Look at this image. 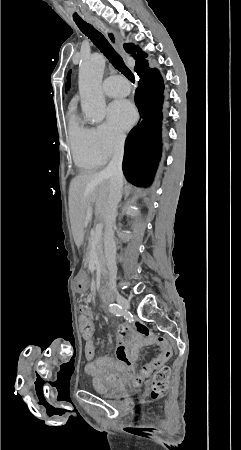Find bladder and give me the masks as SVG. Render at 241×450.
<instances>
[{"label":"bladder","mask_w":241,"mask_h":450,"mask_svg":"<svg viewBox=\"0 0 241 450\" xmlns=\"http://www.w3.org/2000/svg\"><path fill=\"white\" fill-rule=\"evenodd\" d=\"M123 389L119 386H114L107 390L104 394L108 397H119L123 394Z\"/></svg>","instance_id":"obj_1"}]
</instances>
